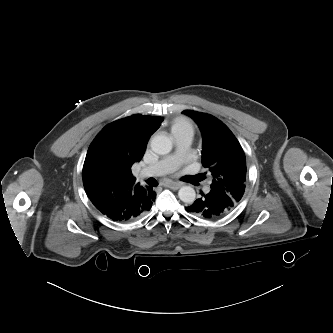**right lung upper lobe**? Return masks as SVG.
Returning a JSON list of instances; mask_svg holds the SVG:
<instances>
[{
    "mask_svg": "<svg viewBox=\"0 0 333 333\" xmlns=\"http://www.w3.org/2000/svg\"><path fill=\"white\" fill-rule=\"evenodd\" d=\"M162 117L141 114L105 126L89 146L83 171L86 193L135 185L131 167L141 160Z\"/></svg>",
    "mask_w": 333,
    "mask_h": 333,
    "instance_id": "cb5924a9",
    "label": "right lung upper lobe"
}]
</instances>
